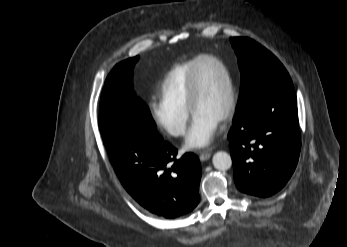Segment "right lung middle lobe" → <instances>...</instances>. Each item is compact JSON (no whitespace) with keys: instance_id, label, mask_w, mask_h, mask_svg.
I'll return each instance as SVG.
<instances>
[{"instance_id":"obj_1","label":"right lung middle lobe","mask_w":347,"mask_h":247,"mask_svg":"<svg viewBox=\"0 0 347 247\" xmlns=\"http://www.w3.org/2000/svg\"><path fill=\"white\" fill-rule=\"evenodd\" d=\"M138 59L139 56H136L118 63L108 75L100 103L101 133L115 124L129 120L140 122L156 131L148 107L136 98L132 90V70Z\"/></svg>"}]
</instances>
